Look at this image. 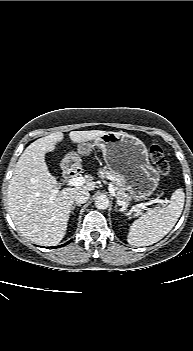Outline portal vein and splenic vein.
<instances>
[{"label": "portal vein and splenic vein", "instance_id": "1", "mask_svg": "<svg viewBox=\"0 0 193 351\" xmlns=\"http://www.w3.org/2000/svg\"><path fill=\"white\" fill-rule=\"evenodd\" d=\"M85 183V178L84 177H74V178H71L67 181V185L68 186H82L83 184ZM109 191H110V194L114 197H116V193H115V188L112 184H109ZM58 193V190H54L53 191V195L52 197H55V195ZM167 200H163V199H155L153 200V202H149V203H146V204H137L136 205V208H146L145 205H150L152 203H161V204H164L166 203ZM117 203L123 207H128V204H126L125 202L117 199ZM149 209V208H147Z\"/></svg>", "mask_w": 193, "mask_h": 351}]
</instances>
